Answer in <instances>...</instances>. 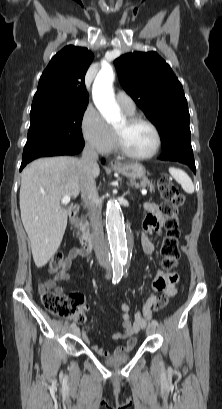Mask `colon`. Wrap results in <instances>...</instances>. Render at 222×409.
<instances>
[{
	"label": "colon",
	"mask_w": 222,
	"mask_h": 409,
	"mask_svg": "<svg viewBox=\"0 0 222 409\" xmlns=\"http://www.w3.org/2000/svg\"><path fill=\"white\" fill-rule=\"evenodd\" d=\"M158 189L163 199L161 208L164 217L166 235L161 246L162 265L166 269L175 268L180 258L179 238L181 231L179 228L178 210L184 203V196L168 178H161L158 181ZM65 268V258L60 252L54 254L48 264L50 272L58 273ZM41 302L44 308L51 314L57 316H74L82 319V313L73 304L70 297L58 291L41 292ZM168 299L166 296L159 298L154 304V313L166 306Z\"/></svg>",
	"instance_id": "colon-1"
}]
</instances>
